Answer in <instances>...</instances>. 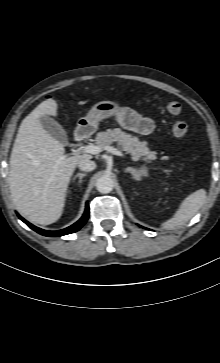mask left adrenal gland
Listing matches in <instances>:
<instances>
[{
	"mask_svg": "<svg viewBox=\"0 0 220 363\" xmlns=\"http://www.w3.org/2000/svg\"><path fill=\"white\" fill-rule=\"evenodd\" d=\"M125 172H129L134 179H139V177L141 176V171H138L137 169H134L132 167H127L125 169Z\"/></svg>",
	"mask_w": 220,
	"mask_h": 363,
	"instance_id": "left-adrenal-gland-1",
	"label": "left adrenal gland"
}]
</instances>
